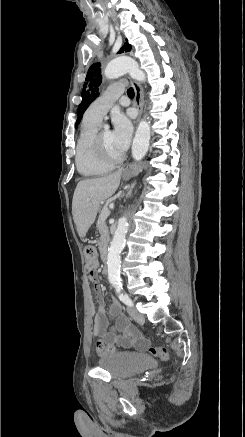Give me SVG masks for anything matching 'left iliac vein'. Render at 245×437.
Wrapping results in <instances>:
<instances>
[{
    "mask_svg": "<svg viewBox=\"0 0 245 437\" xmlns=\"http://www.w3.org/2000/svg\"><path fill=\"white\" fill-rule=\"evenodd\" d=\"M128 313L129 315L137 322V323H143L144 322V316L137 312V310L133 306L128 307Z\"/></svg>",
    "mask_w": 245,
    "mask_h": 437,
    "instance_id": "1",
    "label": "left iliac vein"
}]
</instances>
